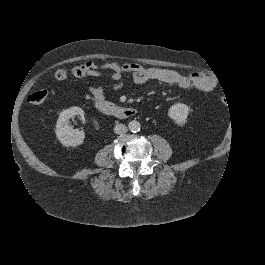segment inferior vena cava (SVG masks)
<instances>
[{
  "instance_id": "602c4592",
  "label": "inferior vena cava",
  "mask_w": 265,
  "mask_h": 265,
  "mask_svg": "<svg viewBox=\"0 0 265 265\" xmlns=\"http://www.w3.org/2000/svg\"><path fill=\"white\" fill-rule=\"evenodd\" d=\"M127 131V127L123 124H116L114 126V132L116 134H122V133H125Z\"/></svg>"
}]
</instances>
